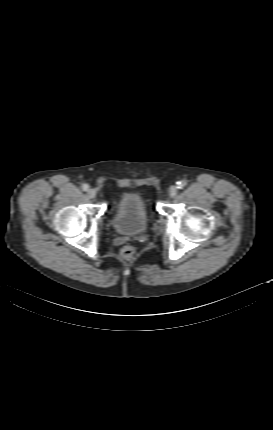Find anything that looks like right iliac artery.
Wrapping results in <instances>:
<instances>
[{
  "instance_id": "1",
  "label": "right iliac artery",
  "mask_w": 273,
  "mask_h": 430,
  "mask_svg": "<svg viewBox=\"0 0 273 430\" xmlns=\"http://www.w3.org/2000/svg\"><path fill=\"white\" fill-rule=\"evenodd\" d=\"M82 189H83V191H87L89 189V185L88 184H83L82 185Z\"/></svg>"
}]
</instances>
